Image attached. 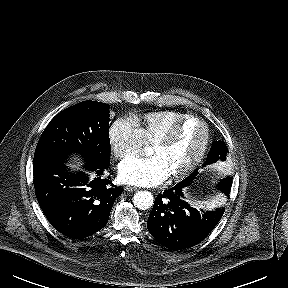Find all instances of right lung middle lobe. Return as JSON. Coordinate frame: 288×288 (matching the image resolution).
I'll list each match as a JSON object with an SVG mask.
<instances>
[{"instance_id":"1","label":"right lung middle lobe","mask_w":288,"mask_h":288,"mask_svg":"<svg viewBox=\"0 0 288 288\" xmlns=\"http://www.w3.org/2000/svg\"><path fill=\"white\" fill-rule=\"evenodd\" d=\"M109 105L83 101L61 111L43 131L33 164L61 162L78 153L87 168L110 162Z\"/></svg>"}]
</instances>
